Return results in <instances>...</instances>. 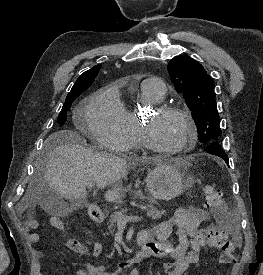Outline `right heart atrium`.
I'll return each instance as SVG.
<instances>
[{
    "label": "right heart atrium",
    "mask_w": 263,
    "mask_h": 275,
    "mask_svg": "<svg viewBox=\"0 0 263 275\" xmlns=\"http://www.w3.org/2000/svg\"><path fill=\"white\" fill-rule=\"evenodd\" d=\"M86 123L92 138L112 151H124L128 132L122 116V103L113 88L102 89L86 110Z\"/></svg>",
    "instance_id": "right-heart-atrium-1"
}]
</instances>
